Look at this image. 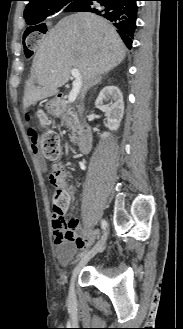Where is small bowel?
Segmentation results:
<instances>
[{
	"instance_id": "c3829d8e",
	"label": "small bowel",
	"mask_w": 183,
	"mask_h": 329,
	"mask_svg": "<svg viewBox=\"0 0 183 329\" xmlns=\"http://www.w3.org/2000/svg\"><path fill=\"white\" fill-rule=\"evenodd\" d=\"M33 151L35 154H38V149L36 146L33 147ZM54 169L60 171L61 175L58 178V182L66 186L67 188L69 187L67 184V177L68 173L66 170L61 166V165H56ZM71 191H74L75 189L73 187H69ZM53 229H54V239H55V244L56 246L64 241V240H70L74 241L77 245L78 248L82 249L85 248L89 242H90V237L86 235L85 230L80 228L79 221L77 219H70L68 220V223L72 225V228H66L61 221L59 220L58 217L53 215ZM76 231H80L82 234L77 235Z\"/></svg>"
}]
</instances>
